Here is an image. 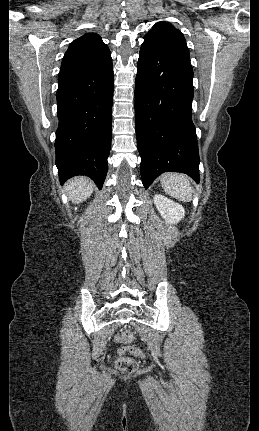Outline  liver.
Wrapping results in <instances>:
<instances>
[{
    "instance_id": "obj_1",
    "label": "liver",
    "mask_w": 259,
    "mask_h": 431,
    "mask_svg": "<svg viewBox=\"0 0 259 431\" xmlns=\"http://www.w3.org/2000/svg\"><path fill=\"white\" fill-rule=\"evenodd\" d=\"M65 189L71 201L79 204L90 197L94 183L86 177H75L69 180Z\"/></svg>"
}]
</instances>
